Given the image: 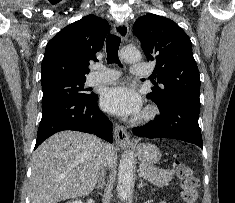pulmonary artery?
Returning <instances> with one entry per match:
<instances>
[{
	"mask_svg": "<svg viewBox=\"0 0 235 203\" xmlns=\"http://www.w3.org/2000/svg\"><path fill=\"white\" fill-rule=\"evenodd\" d=\"M95 71L92 72L87 78V85H101L106 83H112L116 81L120 73L114 69H110L104 66L97 65L94 67ZM132 74L137 76H144L149 73V68L147 64L135 63L131 69Z\"/></svg>",
	"mask_w": 235,
	"mask_h": 203,
	"instance_id": "1",
	"label": "pulmonary artery"
}]
</instances>
